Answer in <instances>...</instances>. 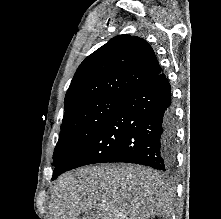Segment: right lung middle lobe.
<instances>
[{"mask_svg": "<svg viewBox=\"0 0 221 219\" xmlns=\"http://www.w3.org/2000/svg\"><path fill=\"white\" fill-rule=\"evenodd\" d=\"M119 98H101L77 104L66 110L53 154V166L78 150L103 125L118 106Z\"/></svg>", "mask_w": 221, "mask_h": 219, "instance_id": "obj_1", "label": "right lung middle lobe"}]
</instances>
